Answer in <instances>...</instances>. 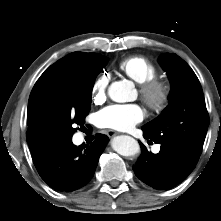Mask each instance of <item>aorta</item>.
Returning a JSON list of instances; mask_svg holds the SVG:
<instances>
[{"instance_id":"1","label":"aorta","mask_w":221,"mask_h":221,"mask_svg":"<svg viewBox=\"0 0 221 221\" xmlns=\"http://www.w3.org/2000/svg\"><path fill=\"white\" fill-rule=\"evenodd\" d=\"M108 94L113 101L123 103L130 101L134 97L135 90L130 81L122 80L112 83ZM112 147L123 156H135L140 153L138 142L126 135L114 137Z\"/></svg>"}]
</instances>
